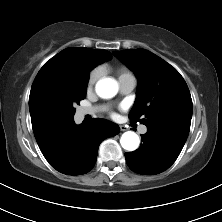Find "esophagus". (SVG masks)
I'll use <instances>...</instances> for the list:
<instances>
[{"label": "esophagus", "instance_id": "esophagus-1", "mask_svg": "<svg viewBox=\"0 0 222 222\" xmlns=\"http://www.w3.org/2000/svg\"><path fill=\"white\" fill-rule=\"evenodd\" d=\"M119 127H120L121 131H126L127 130V128L125 126H123V125H120Z\"/></svg>", "mask_w": 222, "mask_h": 222}]
</instances>
